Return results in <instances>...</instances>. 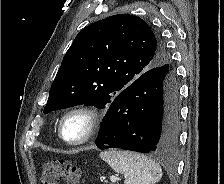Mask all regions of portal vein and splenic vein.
<instances>
[{
  "mask_svg": "<svg viewBox=\"0 0 224 184\" xmlns=\"http://www.w3.org/2000/svg\"><path fill=\"white\" fill-rule=\"evenodd\" d=\"M110 180H111V182L115 183L117 181V177L116 176H111Z\"/></svg>",
  "mask_w": 224,
  "mask_h": 184,
  "instance_id": "portal-vein-and-splenic-vein-1",
  "label": "portal vein and splenic vein"
}]
</instances>
